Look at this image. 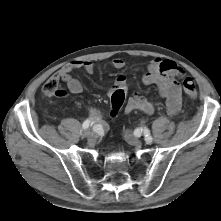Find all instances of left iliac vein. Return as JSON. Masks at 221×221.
<instances>
[{
  "label": "left iliac vein",
  "instance_id": "left-iliac-vein-1",
  "mask_svg": "<svg viewBox=\"0 0 221 221\" xmlns=\"http://www.w3.org/2000/svg\"><path fill=\"white\" fill-rule=\"evenodd\" d=\"M124 139L133 146H141V141L133 134L131 130L124 131ZM152 140L148 143L151 144Z\"/></svg>",
  "mask_w": 221,
  "mask_h": 221
}]
</instances>
